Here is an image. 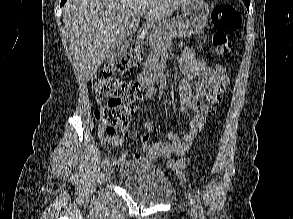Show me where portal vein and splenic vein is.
I'll list each match as a JSON object with an SVG mask.
<instances>
[{"label": "portal vein and splenic vein", "mask_w": 293, "mask_h": 219, "mask_svg": "<svg viewBox=\"0 0 293 219\" xmlns=\"http://www.w3.org/2000/svg\"><path fill=\"white\" fill-rule=\"evenodd\" d=\"M143 15H144V13H138L137 18L139 19V17H142Z\"/></svg>", "instance_id": "portal-vein-and-splenic-vein-1"}]
</instances>
